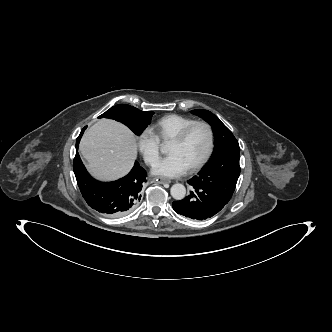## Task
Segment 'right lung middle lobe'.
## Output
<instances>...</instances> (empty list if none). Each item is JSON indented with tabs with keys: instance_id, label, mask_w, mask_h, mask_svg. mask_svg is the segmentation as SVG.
Wrapping results in <instances>:
<instances>
[{
	"instance_id": "dd1d6c3e",
	"label": "right lung middle lobe",
	"mask_w": 332,
	"mask_h": 332,
	"mask_svg": "<svg viewBox=\"0 0 332 332\" xmlns=\"http://www.w3.org/2000/svg\"><path fill=\"white\" fill-rule=\"evenodd\" d=\"M152 111L143 112L133 106L119 104L113 106L98 118H110L128 126L136 135H140L151 122Z\"/></svg>"
}]
</instances>
